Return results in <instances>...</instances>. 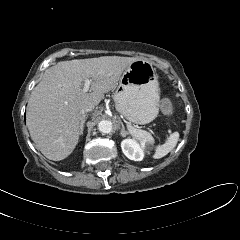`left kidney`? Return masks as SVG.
Instances as JSON below:
<instances>
[{"label": "left kidney", "instance_id": "1", "mask_svg": "<svg viewBox=\"0 0 240 240\" xmlns=\"http://www.w3.org/2000/svg\"><path fill=\"white\" fill-rule=\"evenodd\" d=\"M121 148L125 156L134 161H141L144 158L143 146H140L133 139H125L121 142Z\"/></svg>", "mask_w": 240, "mask_h": 240}]
</instances>
